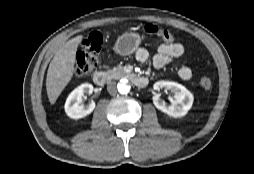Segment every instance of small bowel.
<instances>
[{
	"label": "small bowel",
	"mask_w": 254,
	"mask_h": 174,
	"mask_svg": "<svg viewBox=\"0 0 254 174\" xmlns=\"http://www.w3.org/2000/svg\"><path fill=\"white\" fill-rule=\"evenodd\" d=\"M184 53V46L180 43H161L157 46L156 54L152 57L151 62L154 68L159 69L164 65L179 58ZM136 59L141 63H147L150 60L148 51L145 48H138L135 51ZM178 75L182 80H190L192 71L187 66H181L178 69Z\"/></svg>",
	"instance_id": "1"
}]
</instances>
